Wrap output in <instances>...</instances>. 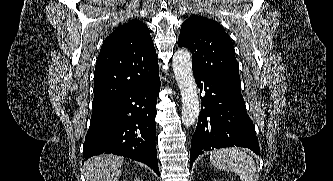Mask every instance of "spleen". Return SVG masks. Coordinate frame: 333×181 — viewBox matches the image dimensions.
<instances>
[{"instance_id":"obj_1","label":"spleen","mask_w":333,"mask_h":181,"mask_svg":"<svg viewBox=\"0 0 333 181\" xmlns=\"http://www.w3.org/2000/svg\"><path fill=\"white\" fill-rule=\"evenodd\" d=\"M210 162L221 170L233 171L242 181H254L256 164L253 158L239 148L215 150L210 155Z\"/></svg>"}]
</instances>
